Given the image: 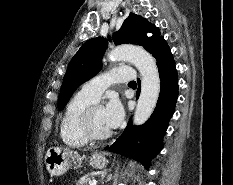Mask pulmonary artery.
<instances>
[{
    "label": "pulmonary artery",
    "mask_w": 233,
    "mask_h": 185,
    "mask_svg": "<svg viewBox=\"0 0 233 185\" xmlns=\"http://www.w3.org/2000/svg\"><path fill=\"white\" fill-rule=\"evenodd\" d=\"M134 79V71L130 67H116L94 77L86 82L80 93L93 101H98L101 94L111 84L117 82H126Z\"/></svg>",
    "instance_id": "pulmonary-artery-1"
}]
</instances>
